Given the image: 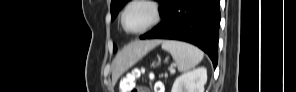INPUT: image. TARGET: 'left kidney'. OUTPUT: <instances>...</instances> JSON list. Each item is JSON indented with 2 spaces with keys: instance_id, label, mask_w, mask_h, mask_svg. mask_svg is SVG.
I'll use <instances>...</instances> for the list:
<instances>
[{
  "instance_id": "obj_1",
  "label": "left kidney",
  "mask_w": 296,
  "mask_h": 92,
  "mask_svg": "<svg viewBox=\"0 0 296 92\" xmlns=\"http://www.w3.org/2000/svg\"><path fill=\"white\" fill-rule=\"evenodd\" d=\"M206 82L207 69L199 67L177 77L171 92H204Z\"/></svg>"
}]
</instances>
